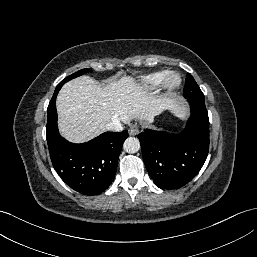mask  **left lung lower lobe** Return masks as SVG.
<instances>
[{"instance_id": "1", "label": "left lung lower lobe", "mask_w": 257, "mask_h": 257, "mask_svg": "<svg viewBox=\"0 0 257 257\" xmlns=\"http://www.w3.org/2000/svg\"><path fill=\"white\" fill-rule=\"evenodd\" d=\"M191 116L179 134L145 129L138 134L147 171L161 189H179L202 168L209 151V118L204 100L187 99Z\"/></svg>"}]
</instances>
